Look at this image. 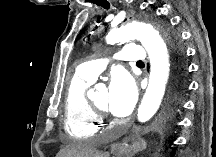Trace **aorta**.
<instances>
[{"mask_svg": "<svg viewBox=\"0 0 216 157\" xmlns=\"http://www.w3.org/2000/svg\"><path fill=\"white\" fill-rule=\"evenodd\" d=\"M137 39L146 49L150 59V76L146 92L138 108V121L145 123L157 112L163 99L170 73L167 45L160 33L150 24L133 22L113 29L106 40L108 44ZM118 156H127L119 152Z\"/></svg>", "mask_w": 216, "mask_h": 157, "instance_id": "obj_1", "label": "aorta"}]
</instances>
